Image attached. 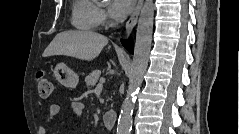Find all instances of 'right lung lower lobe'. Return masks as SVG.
Wrapping results in <instances>:
<instances>
[{
    "instance_id": "right-lung-lower-lobe-1",
    "label": "right lung lower lobe",
    "mask_w": 239,
    "mask_h": 134,
    "mask_svg": "<svg viewBox=\"0 0 239 134\" xmlns=\"http://www.w3.org/2000/svg\"><path fill=\"white\" fill-rule=\"evenodd\" d=\"M122 44L128 51L133 53V42L131 40H124Z\"/></svg>"
}]
</instances>
